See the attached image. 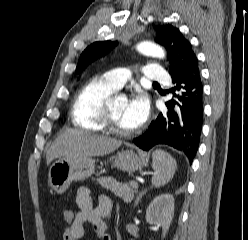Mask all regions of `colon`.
Listing matches in <instances>:
<instances>
[{"mask_svg": "<svg viewBox=\"0 0 248 240\" xmlns=\"http://www.w3.org/2000/svg\"><path fill=\"white\" fill-rule=\"evenodd\" d=\"M75 216V211L72 208H65L62 211V217L65 224H69L72 222Z\"/></svg>", "mask_w": 248, "mask_h": 240, "instance_id": "colon-1", "label": "colon"}]
</instances>
